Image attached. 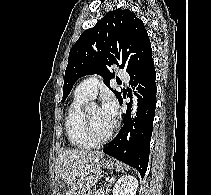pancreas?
Wrapping results in <instances>:
<instances>
[{
	"mask_svg": "<svg viewBox=\"0 0 211 195\" xmlns=\"http://www.w3.org/2000/svg\"><path fill=\"white\" fill-rule=\"evenodd\" d=\"M97 192H88L86 195H96Z\"/></svg>",
	"mask_w": 211,
	"mask_h": 195,
	"instance_id": "obj_1",
	"label": "pancreas"
}]
</instances>
